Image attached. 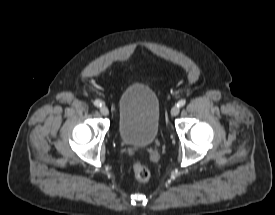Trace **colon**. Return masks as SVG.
I'll list each match as a JSON object with an SVG mask.
<instances>
[{"label": "colon", "mask_w": 275, "mask_h": 215, "mask_svg": "<svg viewBox=\"0 0 275 215\" xmlns=\"http://www.w3.org/2000/svg\"><path fill=\"white\" fill-rule=\"evenodd\" d=\"M133 172L137 180L145 182L149 180L151 172L149 168L138 161L133 163Z\"/></svg>", "instance_id": "colon-1"}]
</instances>
